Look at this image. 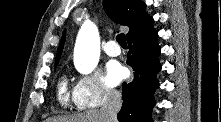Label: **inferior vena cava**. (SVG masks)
Listing matches in <instances>:
<instances>
[{
    "label": "inferior vena cava",
    "mask_w": 221,
    "mask_h": 122,
    "mask_svg": "<svg viewBox=\"0 0 221 122\" xmlns=\"http://www.w3.org/2000/svg\"><path fill=\"white\" fill-rule=\"evenodd\" d=\"M105 102L101 109L107 122H117V113L122 106L121 93L116 90L107 89L104 93Z\"/></svg>",
    "instance_id": "obj_1"
}]
</instances>
